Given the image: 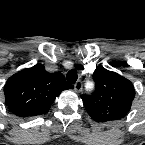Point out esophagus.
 Listing matches in <instances>:
<instances>
[{
	"label": "esophagus",
	"mask_w": 145,
	"mask_h": 145,
	"mask_svg": "<svg viewBox=\"0 0 145 145\" xmlns=\"http://www.w3.org/2000/svg\"><path fill=\"white\" fill-rule=\"evenodd\" d=\"M74 89L76 92H80L82 90V82L80 80L75 83Z\"/></svg>",
	"instance_id": "34e87169"
}]
</instances>
